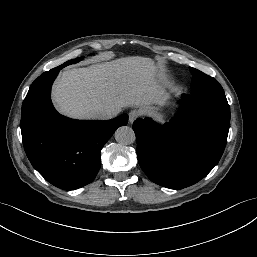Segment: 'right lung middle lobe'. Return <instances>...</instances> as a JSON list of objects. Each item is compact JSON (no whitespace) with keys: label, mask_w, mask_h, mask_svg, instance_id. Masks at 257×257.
I'll return each instance as SVG.
<instances>
[{"label":"right lung middle lobe","mask_w":257,"mask_h":257,"mask_svg":"<svg viewBox=\"0 0 257 257\" xmlns=\"http://www.w3.org/2000/svg\"><path fill=\"white\" fill-rule=\"evenodd\" d=\"M82 59H83V57H79V58H77V59H75V60L67 61L66 63L63 64V66L65 67V66H67V65H69V64L77 63V62H79V61L82 60Z\"/></svg>","instance_id":"dd1d6c3e"}]
</instances>
